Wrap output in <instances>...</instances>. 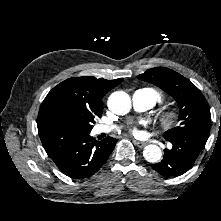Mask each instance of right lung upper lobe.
I'll list each match as a JSON object with an SVG mask.
<instances>
[{"instance_id":"1","label":"right lung upper lobe","mask_w":221,"mask_h":221,"mask_svg":"<svg viewBox=\"0 0 221 221\" xmlns=\"http://www.w3.org/2000/svg\"><path fill=\"white\" fill-rule=\"evenodd\" d=\"M123 79L105 80L93 76L69 78L54 87L40 106L37 125H59L74 116L101 117L102 98Z\"/></svg>"}]
</instances>
